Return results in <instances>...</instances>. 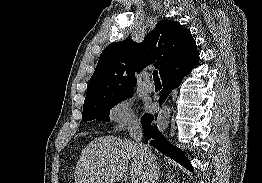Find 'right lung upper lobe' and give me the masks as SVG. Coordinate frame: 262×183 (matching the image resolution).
<instances>
[{
    "instance_id": "right-lung-upper-lobe-1",
    "label": "right lung upper lobe",
    "mask_w": 262,
    "mask_h": 183,
    "mask_svg": "<svg viewBox=\"0 0 262 183\" xmlns=\"http://www.w3.org/2000/svg\"><path fill=\"white\" fill-rule=\"evenodd\" d=\"M199 53L190 30L179 22L161 20L145 39L114 42L101 53L84 101L85 103L133 90L135 72L149 64L159 70L161 79L197 64Z\"/></svg>"
}]
</instances>
